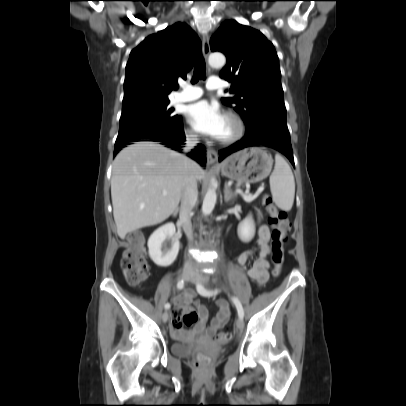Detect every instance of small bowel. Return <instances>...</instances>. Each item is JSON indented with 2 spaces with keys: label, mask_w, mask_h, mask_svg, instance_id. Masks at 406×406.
Listing matches in <instances>:
<instances>
[{
  "label": "small bowel",
  "mask_w": 406,
  "mask_h": 406,
  "mask_svg": "<svg viewBox=\"0 0 406 406\" xmlns=\"http://www.w3.org/2000/svg\"><path fill=\"white\" fill-rule=\"evenodd\" d=\"M261 214L257 213V219L259 222L257 245L258 250L256 252V259L251 267H247V262L255 255L254 251H246L241 253L237 258V264L241 269L245 271L247 276L253 279L259 287H262L268 281V267L269 263L267 256L269 253V240L270 229L267 225L260 223ZM173 303L183 309L185 313L193 312L191 306L195 308L196 313L199 316V322L188 333L184 332L180 328H175L171 324V332L175 337L186 338L189 336H203L206 339L214 336L217 331L227 323L230 318V308L226 300L218 299L216 301L217 314L211 319L210 325L206 328V321L208 319L207 308L197 301L195 292L193 290H187L182 294L176 295L173 298Z\"/></svg>",
  "instance_id": "1"
}]
</instances>
